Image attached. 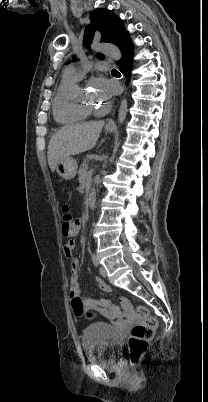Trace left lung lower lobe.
<instances>
[{
	"label": "left lung lower lobe",
	"instance_id": "left-lung-lower-lobe-1",
	"mask_svg": "<svg viewBox=\"0 0 208 402\" xmlns=\"http://www.w3.org/2000/svg\"><path fill=\"white\" fill-rule=\"evenodd\" d=\"M120 48L122 50L124 58L121 59L120 61H118L117 64L119 66L120 71L126 75V78H127L126 84H128V81L130 79V71H131L130 56L133 53V45H132V42L130 40L128 33L126 34L125 38L123 39V41L120 45Z\"/></svg>",
	"mask_w": 208,
	"mask_h": 402
}]
</instances>
